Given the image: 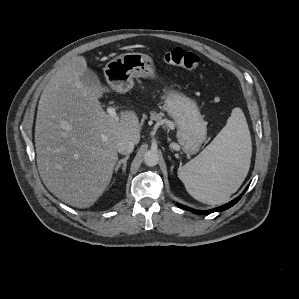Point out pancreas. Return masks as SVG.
<instances>
[{"label":"pancreas","instance_id":"1","mask_svg":"<svg viewBox=\"0 0 299 299\" xmlns=\"http://www.w3.org/2000/svg\"><path fill=\"white\" fill-rule=\"evenodd\" d=\"M150 118H151L152 120L159 121V122H162V123L167 122V123L170 124V126H171L172 128L174 127V123L171 122V121H167V120L163 119V114H161V113L151 112V116H150Z\"/></svg>","mask_w":299,"mask_h":299}]
</instances>
